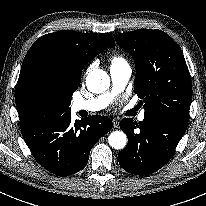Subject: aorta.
I'll use <instances>...</instances> for the list:
<instances>
[{
  "mask_svg": "<svg viewBox=\"0 0 206 206\" xmlns=\"http://www.w3.org/2000/svg\"><path fill=\"white\" fill-rule=\"evenodd\" d=\"M86 86L92 93H102L109 88L110 77L104 70L94 69L87 75ZM108 143L114 149H123L127 144V136L122 131H113L108 137Z\"/></svg>",
  "mask_w": 206,
  "mask_h": 206,
  "instance_id": "obj_1",
  "label": "aorta"
}]
</instances>
